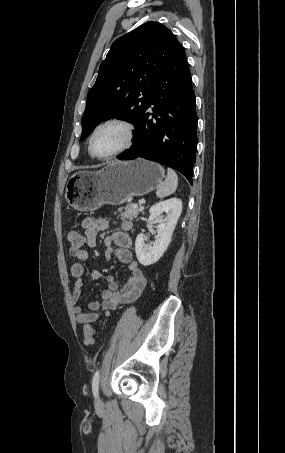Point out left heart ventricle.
<instances>
[{"label": "left heart ventricle", "mask_w": 285, "mask_h": 453, "mask_svg": "<svg viewBox=\"0 0 285 453\" xmlns=\"http://www.w3.org/2000/svg\"><path fill=\"white\" fill-rule=\"evenodd\" d=\"M125 141L126 131L123 127L107 125L99 129L94 136L93 150L98 155H107L122 147Z\"/></svg>", "instance_id": "1"}]
</instances>
